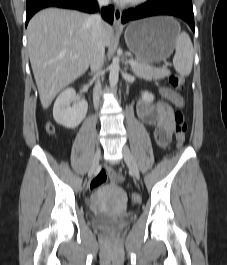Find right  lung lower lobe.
<instances>
[{"label": "right lung lower lobe", "mask_w": 227, "mask_h": 265, "mask_svg": "<svg viewBox=\"0 0 227 265\" xmlns=\"http://www.w3.org/2000/svg\"><path fill=\"white\" fill-rule=\"evenodd\" d=\"M27 4V17L26 26L30 18L39 10L47 7H59L77 9L80 11L93 13L96 12L97 1L96 0H26ZM114 8L108 6L102 8V17L112 24L113 22Z\"/></svg>", "instance_id": "obj_1"}]
</instances>
